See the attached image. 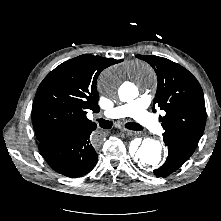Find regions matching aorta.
<instances>
[{
  "label": "aorta",
  "mask_w": 221,
  "mask_h": 221,
  "mask_svg": "<svg viewBox=\"0 0 221 221\" xmlns=\"http://www.w3.org/2000/svg\"><path fill=\"white\" fill-rule=\"evenodd\" d=\"M116 86L115 72H105L100 79V88L106 95L112 96ZM119 98L123 102H129L136 98L138 91L132 88L130 91L119 90ZM133 158L144 168H153L160 165L162 161V145L159 141L143 140L139 148L134 149Z\"/></svg>",
  "instance_id": "762f6f07"
}]
</instances>
